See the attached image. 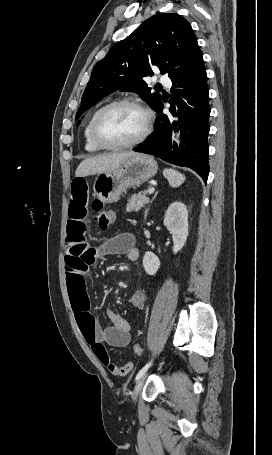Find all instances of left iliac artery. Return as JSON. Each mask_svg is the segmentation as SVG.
<instances>
[{
  "label": "left iliac artery",
  "mask_w": 272,
  "mask_h": 455,
  "mask_svg": "<svg viewBox=\"0 0 272 455\" xmlns=\"http://www.w3.org/2000/svg\"><path fill=\"white\" fill-rule=\"evenodd\" d=\"M151 365V362L147 363L139 372L138 374L136 375V378L135 380H138L142 375L145 374V372L148 370V368L150 367Z\"/></svg>",
  "instance_id": "1"
}]
</instances>
